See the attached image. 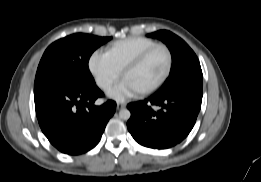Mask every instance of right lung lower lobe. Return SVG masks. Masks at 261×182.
<instances>
[{
    "instance_id": "98d812e1",
    "label": "right lung lower lobe",
    "mask_w": 261,
    "mask_h": 182,
    "mask_svg": "<svg viewBox=\"0 0 261 182\" xmlns=\"http://www.w3.org/2000/svg\"><path fill=\"white\" fill-rule=\"evenodd\" d=\"M101 96L97 86L82 90L65 79L34 86L37 119L51 144L69 155L95 147L116 109L112 100L95 106V100Z\"/></svg>"
}]
</instances>
